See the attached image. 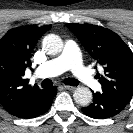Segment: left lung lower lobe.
Instances as JSON below:
<instances>
[{
  "mask_svg": "<svg viewBox=\"0 0 133 133\" xmlns=\"http://www.w3.org/2000/svg\"><path fill=\"white\" fill-rule=\"evenodd\" d=\"M127 104L123 100L96 92L93 93V102L83 107L82 111L91 118L106 119L119 114Z\"/></svg>",
  "mask_w": 133,
  "mask_h": 133,
  "instance_id": "0a47b994",
  "label": "left lung lower lobe"
}]
</instances>
